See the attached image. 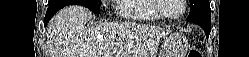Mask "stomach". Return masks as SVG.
Segmentation results:
<instances>
[{
    "instance_id": "0dacf381",
    "label": "stomach",
    "mask_w": 249,
    "mask_h": 57,
    "mask_svg": "<svg viewBox=\"0 0 249 57\" xmlns=\"http://www.w3.org/2000/svg\"><path fill=\"white\" fill-rule=\"evenodd\" d=\"M187 44L186 38L182 35L173 34L164 37L159 57H185Z\"/></svg>"
}]
</instances>
